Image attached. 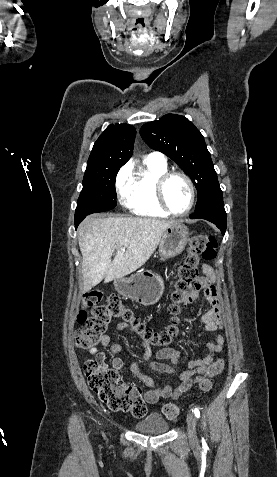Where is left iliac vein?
Segmentation results:
<instances>
[{
  "label": "left iliac vein",
  "instance_id": "left-iliac-vein-1",
  "mask_svg": "<svg viewBox=\"0 0 277 477\" xmlns=\"http://www.w3.org/2000/svg\"><path fill=\"white\" fill-rule=\"evenodd\" d=\"M187 429L190 442L192 444L196 443V417L192 412H189L187 415Z\"/></svg>",
  "mask_w": 277,
  "mask_h": 477
}]
</instances>
